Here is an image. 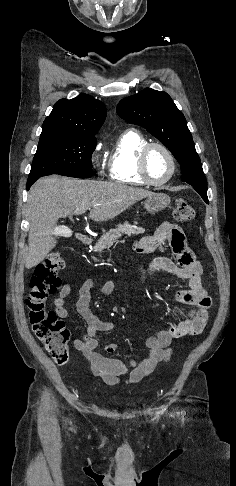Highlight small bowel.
Returning a JSON list of instances; mask_svg holds the SVG:
<instances>
[{"mask_svg": "<svg viewBox=\"0 0 236 486\" xmlns=\"http://www.w3.org/2000/svg\"><path fill=\"white\" fill-rule=\"evenodd\" d=\"M168 248L175 254L176 261L158 257L147 267L138 264L140 283L146 285L158 272H167L185 280L188 289L176 292L175 299L189 306L190 310L184 320L173 323L147 338L145 341L147 355L140 361L131 360L125 364L119 359L106 357L97 352L96 335L100 332L113 331L115 326L112 322L98 318L90 308L91 292L94 289L93 280H86L79 289L76 310L88 326L82 338L74 340V347L84 355L92 373L108 385L118 384L124 375H127V383L140 382L153 373L159 365L166 364L170 360L171 344L174 339L199 335L206 326L211 300L202 284V266L187 246L181 228L174 223L163 222L151 235L141 238L135 244L138 253L164 251ZM115 285V281H107L99 288V292L108 294L114 290ZM70 291L69 284L63 285L53 301L55 312L61 319L68 317L66 297ZM115 350L116 345L113 343L105 347L107 353H113Z\"/></svg>", "mask_w": 236, "mask_h": 486, "instance_id": "small-bowel-1", "label": "small bowel"}]
</instances>
